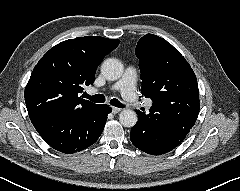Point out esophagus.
Segmentation results:
<instances>
[{"label": "esophagus", "mask_w": 240, "mask_h": 191, "mask_svg": "<svg viewBox=\"0 0 240 191\" xmlns=\"http://www.w3.org/2000/svg\"><path fill=\"white\" fill-rule=\"evenodd\" d=\"M121 110H122L121 108L112 107V112H113L114 114L120 112Z\"/></svg>", "instance_id": "obj_1"}]
</instances>
